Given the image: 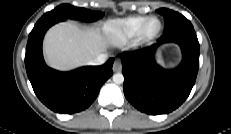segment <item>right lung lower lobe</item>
I'll return each mask as SVG.
<instances>
[{
  "instance_id": "1",
  "label": "right lung lower lobe",
  "mask_w": 231,
  "mask_h": 134,
  "mask_svg": "<svg viewBox=\"0 0 231 134\" xmlns=\"http://www.w3.org/2000/svg\"><path fill=\"white\" fill-rule=\"evenodd\" d=\"M60 21L37 22L29 34L25 66L33 90L51 110L72 114L89 107L103 83L113 74V58L102 66H87L71 72L49 68L42 55V40L49 27Z\"/></svg>"
}]
</instances>
